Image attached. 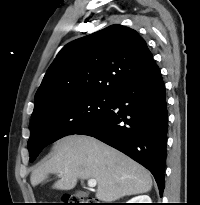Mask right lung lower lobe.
<instances>
[{
    "label": "right lung lower lobe",
    "mask_w": 200,
    "mask_h": 205,
    "mask_svg": "<svg viewBox=\"0 0 200 205\" xmlns=\"http://www.w3.org/2000/svg\"><path fill=\"white\" fill-rule=\"evenodd\" d=\"M167 127L165 84L155 63L112 96L102 118L76 134L95 137L142 164L153 174L162 196Z\"/></svg>",
    "instance_id": "right-lung-lower-lobe-1"
}]
</instances>
